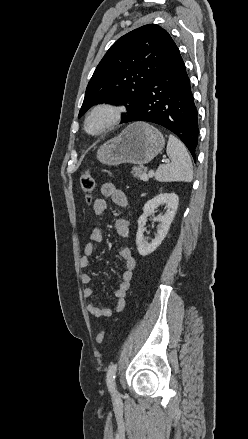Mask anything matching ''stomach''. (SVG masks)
<instances>
[{
	"mask_svg": "<svg viewBox=\"0 0 248 439\" xmlns=\"http://www.w3.org/2000/svg\"><path fill=\"white\" fill-rule=\"evenodd\" d=\"M164 145L165 139L158 129L145 122H135L101 145L96 157L109 166L122 163L143 165L158 155Z\"/></svg>",
	"mask_w": 248,
	"mask_h": 439,
	"instance_id": "obj_1",
	"label": "stomach"
}]
</instances>
